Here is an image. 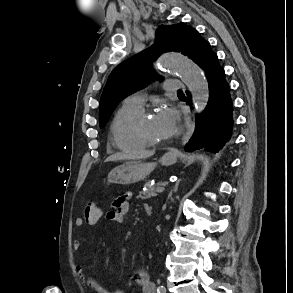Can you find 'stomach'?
<instances>
[{"label": "stomach", "instance_id": "stomach-1", "mask_svg": "<svg viewBox=\"0 0 293 293\" xmlns=\"http://www.w3.org/2000/svg\"><path fill=\"white\" fill-rule=\"evenodd\" d=\"M177 162V157L172 153L165 154L160 163L165 166H171ZM156 163H145L141 161H128L114 168L108 174V182L116 184H133L144 180L156 167Z\"/></svg>", "mask_w": 293, "mask_h": 293}]
</instances>
